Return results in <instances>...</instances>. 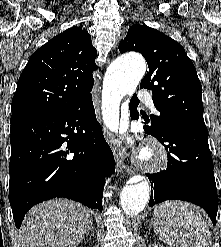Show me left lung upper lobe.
Masks as SVG:
<instances>
[{
    "instance_id": "left-lung-upper-lobe-1",
    "label": "left lung upper lobe",
    "mask_w": 221,
    "mask_h": 247,
    "mask_svg": "<svg viewBox=\"0 0 221 247\" xmlns=\"http://www.w3.org/2000/svg\"><path fill=\"white\" fill-rule=\"evenodd\" d=\"M120 53L137 51L149 71L140 88L151 89L159 116L151 115V125L163 129L172 124L205 127L202 86L196 69L184 48L164 33L146 25L134 24L119 45Z\"/></svg>"
}]
</instances>
